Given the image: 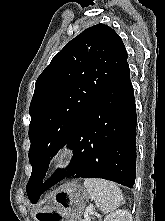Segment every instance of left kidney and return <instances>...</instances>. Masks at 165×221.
Wrapping results in <instances>:
<instances>
[{
	"label": "left kidney",
	"mask_w": 165,
	"mask_h": 221,
	"mask_svg": "<svg viewBox=\"0 0 165 221\" xmlns=\"http://www.w3.org/2000/svg\"><path fill=\"white\" fill-rule=\"evenodd\" d=\"M104 221H132V215L128 210H116L106 216Z\"/></svg>",
	"instance_id": "1"
}]
</instances>
